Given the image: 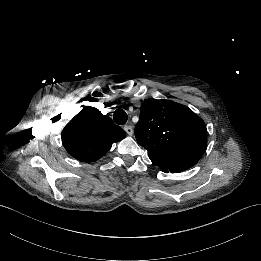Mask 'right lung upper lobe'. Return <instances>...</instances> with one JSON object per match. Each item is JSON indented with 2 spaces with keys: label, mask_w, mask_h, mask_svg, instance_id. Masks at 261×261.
<instances>
[{
  "label": "right lung upper lobe",
  "mask_w": 261,
  "mask_h": 261,
  "mask_svg": "<svg viewBox=\"0 0 261 261\" xmlns=\"http://www.w3.org/2000/svg\"><path fill=\"white\" fill-rule=\"evenodd\" d=\"M62 143L77 160L93 162L107 153L114 142L125 138V132L110 117L86 106L63 129Z\"/></svg>",
  "instance_id": "right-lung-upper-lobe-1"
}]
</instances>
